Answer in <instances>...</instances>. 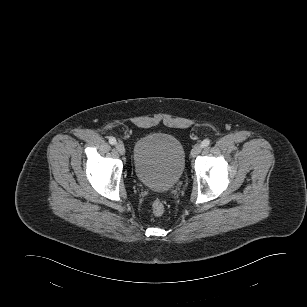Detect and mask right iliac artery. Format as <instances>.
I'll list each match as a JSON object with an SVG mask.
<instances>
[{
    "label": "right iliac artery",
    "instance_id": "right-iliac-artery-1",
    "mask_svg": "<svg viewBox=\"0 0 307 307\" xmlns=\"http://www.w3.org/2000/svg\"><path fill=\"white\" fill-rule=\"evenodd\" d=\"M109 143H110L111 145H115V144H116V139H115L114 137H110V138H109Z\"/></svg>",
    "mask_w": 307,
    "mask_h": 307
}]
</instances>
